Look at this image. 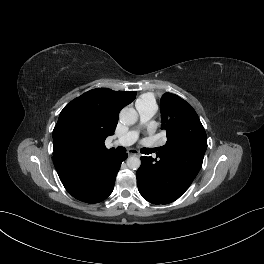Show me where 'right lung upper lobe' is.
Masks as SVG:
<instances>
[{
	"label": "right lung upper lobe",
	"instance_id": "obj_1",
	"mask_svg": "<svg viewBox=\"0 0 264 264\" xmlns=\"http://www.w3.org/2000/svg\"><path fill=\"white\" fill-rule=\"evenodd\" d=\"M135 96L134 91L97 88L75 98L61 111L53 130V162L71 195L89 192L91 175L116 152L105 147V139L114 134L120 110ZM73 115L79 119L77 128L68 126Z\"/></svg>",
	"mask_w": 264,
	"mask_h": 264
}]
</instances>
